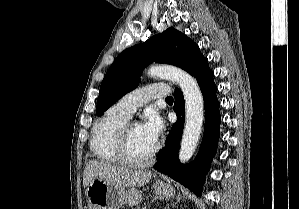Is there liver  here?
<instances>
[{"instance_id": "6515ba94", "label": "liver", "mask_w": 299, "mask_h": 209, "mask_svg": "<svg viewBox=\"0 0 299 209\" xmlns=\"http://www.w3.org/2000/svg\"><path fill=\"white\" fill-rule=\"evenodd\" d=\"M152 172L114 166L97 160H90L84 169L83 186L95 179H103L120 187H141L149 182Z\"/></svg>"}]
</instances>
